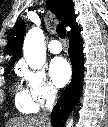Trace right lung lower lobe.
<instances>
[{
	"instance_id": "1",
	"label": "right lung lower lobe",
	"mask_w": 108,
	"mask_h": 127,
	"mask_svg": "<svg viewBox=\"0 0 108 127\" xmlns=\"http://www.w3.org/2000/svg\"><path fill=\"white\" fill-rule=\"evenodd\" d=\"M70 40L69 57L72 63L73 75L71 83L62 92L51 114L53 127H63L69 113L76 106L81 96L84 76L83 41L79 26L68 32Z\"/></svg>"
}]
</instances>
